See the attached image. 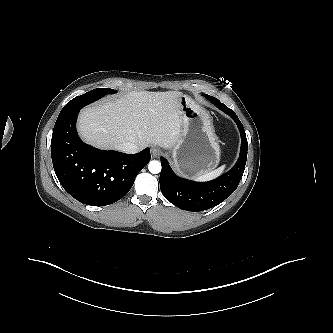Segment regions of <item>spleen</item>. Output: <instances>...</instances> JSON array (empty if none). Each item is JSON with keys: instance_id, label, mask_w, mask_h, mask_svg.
<instances>
[{"instance_id": "obj_1", "label": "spleen", "mask_w": 333, "mask_h": 333, "mask_svg": "<svg viewBox=\"0 0 333 333\" xmlns=\"http://www.w3.org/2000/svg\"><path fill=\"white\" fill-rule=\"evenodd\" d=\"M224 169H225V165L221 166L215 170H212V171L206 172L202 175H199L195 179H196V181H200V182L211 180V179L221 175L223 173Z\"/></svg>"}]
</instances>
